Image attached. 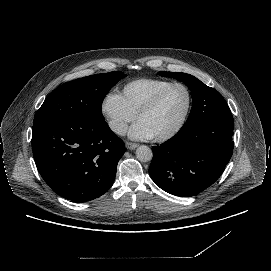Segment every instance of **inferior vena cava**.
I'll return each mask as SVG.
<instances>
[{
    "instance_id": "1",
    "label": "inferior vena cava",
    "mask_w": 271,
    "mask_h": 271,
    "mask_svg": "<svg viewBox=\"0 0 271 271\" xmlns=\"http://www.w3.org/2000/svg\"><path fill=\"white\" fill-rule=\"evenodd\" d=\"M110 128L118 135L125 136L127 133V124L123 121H110Z\"/></svg>"
}]
</instances>
